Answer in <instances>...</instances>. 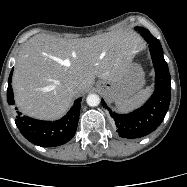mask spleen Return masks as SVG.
Listing matches in <instances>:
<instances>
[{"label": "spleen", "mask_w": 187, "mask_h": 187, "mask_svg": "<svg viewBox=\"0 0 187 187\" xmlns=\"http://www.w3.org/2000/svg\"><path fill=\"white\" fill-rule=\"evenodd\" d=\"M151 93H152V88L147 87L145 89L140 90L129 99L117 102L116 107L121 112L132 111L133 109L141 106L150 97Z\"/></svg>", "instance_id": "1"}]
</instances>
